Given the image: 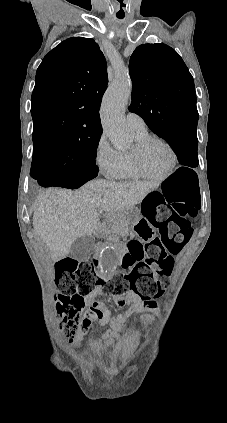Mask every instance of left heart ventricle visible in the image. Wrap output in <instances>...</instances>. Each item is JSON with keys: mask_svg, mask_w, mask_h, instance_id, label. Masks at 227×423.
<instances>
[{"mask_svg": "<svg viewBox=\"0 0 227 423\" xmlns=\"http://www.w3.org/2000/svg\"><path fill=\"white\" fill-rule=\"evenodd\" d=\"M168 150L159 142H153L146 147L142 160L144 167L152 174H161L170 164Z\"/></svg>", "mask_w": 227, "mask_h": 423, "instance_id": "1", "label": "left heart ventricle"}]
</instances>
